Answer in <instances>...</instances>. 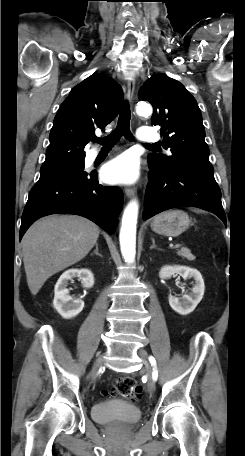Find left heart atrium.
Segmentation results:
<instances>
[{"mask_svg":"<svg viewBox=\"0 0 245 456\" xmlns=\"http://www.w3.org/2000/svg\"><path fill=\"white\" fill-rule=\"evenodd\" d=\"M140 173L138 157L131 152L123 153L109 161L102 170L103 178L114 184L135 182Z\"/></svg>","mask_w":245,"mask_h":456,"instance_id":"obj_1","label":"left heart atrium"}]
</instances>
